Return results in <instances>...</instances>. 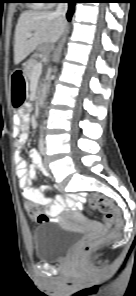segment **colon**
Masks as SVG:
<instances>
[{
	"mask_svg": "<svg viewBox=\"0 0 136 296\" xmlns=\"http://www.w3.org/2000/svg\"><path fill=\"white\" fill-rule=\"evenodd\" d=\"M83 201H87L89 205L104 214L105 223L108 226L120 227L122 225V214L113 203L106 197L97 195L80 196ZM25 211L35 217L39 223L47 222L46 216L40 212V206L34 202H26L24 204ZM101 237L88 236L81 246L78 248V253L86 255L91 253L94 248L100 243Z\"/></svg>",
	"mask_w": 136,
	"mask_h": 296,
	"instance_id": "1",
	"label": "colon"
}]
</instances>
